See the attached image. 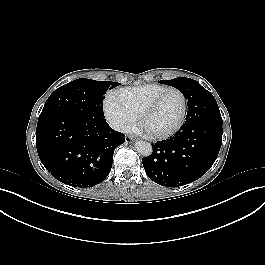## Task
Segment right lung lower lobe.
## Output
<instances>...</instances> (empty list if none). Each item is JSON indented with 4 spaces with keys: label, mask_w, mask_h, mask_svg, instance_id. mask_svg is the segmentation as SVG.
Instances as JSON below:
<instances>
[{
    "label": "right lung lower lobe",
    "mask_w": 265,
    "mask_h": 265,
    "mask_svg": "<svg viewBox=\"0 0 265 265\" xmlns=\"http://www.w3.org/2000/svg\"><path fill=\"white\" fill-rule=\"evenodd\" d=\"M103 117L51 111L41 113L36 147L46 169L73 187L94 186L109 175L113 153L125 142Z\"/></svg>",
    "instance_id": "1"
}]
</instances>
